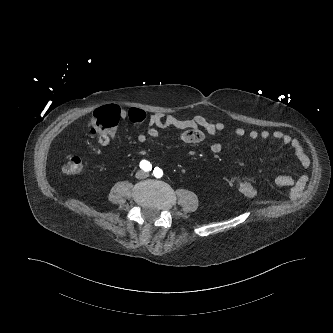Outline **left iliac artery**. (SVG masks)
Returning a JSON list of instances; mask_svg holds the SVG:
<instances>
[{
	"mask_svg": "<svg viewBox=\"0 0 333 333\" xmlns=\"http://www.w3.org/2000/svg\"><path fill=\"white\" fill-rule=\"evenodd\" d=\"M153 173H154V176L157 178H160L163 175V171L159 167H155Z\"/></svg>",
	"mask_w": 333,
	"mask_h": 333,
	"instance_id": "obj_1",
	"label": "left iliac artery"
}]
</instances>
